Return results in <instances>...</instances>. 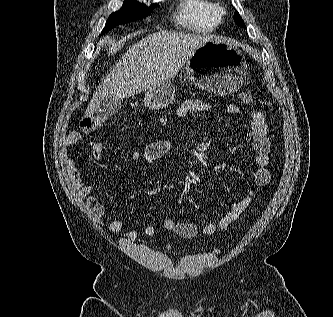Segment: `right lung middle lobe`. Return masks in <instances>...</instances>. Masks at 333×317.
Wrapping results in <instances>:
<instances>
[{"instance_id":"obj_1","label":"right lung middle lobe","mask_w":333,"mask_h":317,"mask_svg":"<svg viewBox=\"0 0 333 317\" xmlns=\"http://www.w3.org/2000/svg\"><path fill=\"white\" fill-rule=\"evenodd\" d=\"M154 7L155 5L152 4L150 8H146V6L136 0L124 1L122 8L109 16L102 33L111 30L119 24L145 18Z\"/></svg>"}]
</instances>
